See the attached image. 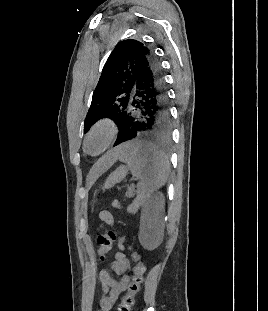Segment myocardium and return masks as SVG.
Instances as JSON below:
<instances>
[{
	"instance_id": "myocardium-1",
	"label": "myocardium",
	"mask_w": 268,
	"mask_h": 311,
	"mask_svg": "<svg viewBox=\"0 0 268 311\" xmlns=\"http://www.w3.org/2000/svg\"><path fill=\"white\" fill-rule=\"evenodd\" d=\"M117 133V126L116 123L110 119V118H102L96 121L92 127L89 129L87 132L85 138H84V149L87 153L91 155H100L103 153L114 141L115 136ZM97 134H103L104 135V140L103 143L101 144L100 148L92 152L88 148L89 141L91 140L92 137H94Z\"/></svg>"
}]
</instances>
